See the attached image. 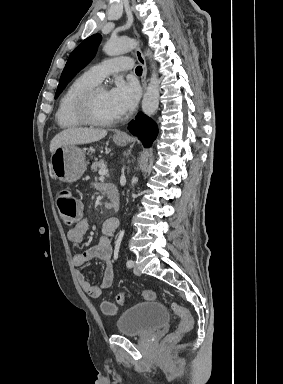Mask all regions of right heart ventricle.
<instances>
[{
    "instance_id": "obj_1",
    "label": "right heart ventricle",
    "mask_w": 283,
    "mask_h": 384,
    "mask_svg": "<svg viewBox=\"0 0 283 384\" xmlns=\"http://www.w3.org/2000/svg\"><path fill=\"white\" fill-rule=\"evenodd\" d=\"M95 84L85 74L69 84L61 95L55 112L56 122L61 129L76 130L83 126L73 115V105L82 92Z\"/></svg>"
}]
</instances>
